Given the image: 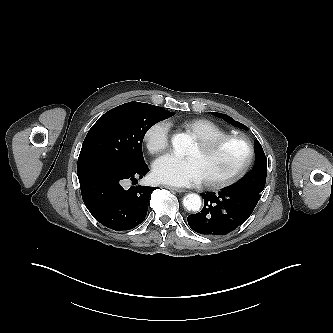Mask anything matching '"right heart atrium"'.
I'll return each instance as SVG.
<instances>
[{"mask_svg":"<svg viewBox=\"0 0 333 333\" xmlns=\"http://www.w3.org/2000/svg\"><path fill=\"white\" fill-rule=\"evenodd\" d=\"M170 125L167 121H157L144 133V142L151 154H159L169 145Z\"/></svg>","mask_w":333,"mask_h":333,"instance_id":"obj_1","label":"right heart atrium"}]
</instances>
